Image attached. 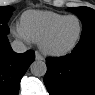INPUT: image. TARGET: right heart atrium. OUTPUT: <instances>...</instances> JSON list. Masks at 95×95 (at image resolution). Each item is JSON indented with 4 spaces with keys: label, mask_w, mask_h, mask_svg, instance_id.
I'll list each match as a JSON object with an SVG mask.
<instances>
[{
    "label": "right heart atrium",
    "mask_w": 95,
    "mask_h": 95,
    "mask_svg": "<svg viewBox=\"0 0 95 95\" xmlns=\"http://www.w3.org/2000/svg\"><path fill=\"white\" fill-rule=\"evenodd\" d=\"M13 34L20 39L21 41L24 42H29L30 39L28 38V36L25 34V32L21 29L20 25H17L15 27H13L12 29Z\"/></svg>",
    "instance_id": "obj_1"
}]
</instances>
